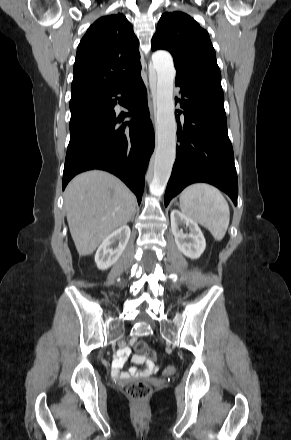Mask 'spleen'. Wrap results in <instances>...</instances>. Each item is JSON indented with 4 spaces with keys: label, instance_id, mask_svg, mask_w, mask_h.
<instances>
[{
    "label": "spleen",
    "instance_id": "obj_1",
    "mask_svg": "<svg viewBox=\"0 0 291 440\" xmlns=\"http://www.w3.org/2000/svg\"><path fill=\"white\" fill-rule=\"evenodd\" d=\"M183 214L206 227L217 241H221L230 220L229 205L214 186L196 183L186 187L180 195Z\"/></svg>",
    "mask_w": 291,
    "mask_h": 440
}]
</instances>
